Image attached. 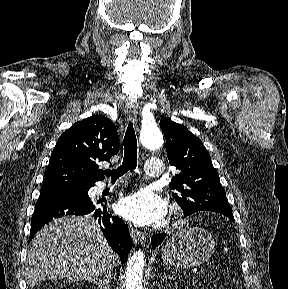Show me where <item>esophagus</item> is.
I'll use <instances>...</instances> for the list:
<instances>
[{
  "label": "esophagus",
  "mask_w": 288,
  "mask_h": 289,
  "mask_svg": "<svg viewBox=\"0 0 288 289\" xmlns=\"http://www.w3.org/2000/svg\"><path fill=\"white\" fill-rule=\"evenodd\" d=\"M137 110H138V106L136 103L128 102L126 104L125 113H126L128 120H131L135 117V115L137 114ZM130 233L135 244L140 245L143 243L144 235L142 234L141 231H138L136 229H131Z\"/></svg>",
  "instance_id": "1"
}]
</instances>
